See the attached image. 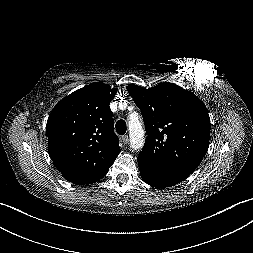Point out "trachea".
I'll return each instance as SVG.
<instances>
[{"instance_id": "trachea-1", "label": "trachea", "mask_w": 253, "mask_h": 253, "mask_svg": "<svg viewBox=\"0 0 253 253\" xmlns=\"http://www.w3.org/2000/svg\"><path fill=\"white\" fill-rule=\"evenodd\" d=\"M116 132L119 134V135H124L126 133V130H127V126H126V122L122 119L118 120L116 122Z\"/></svg>"}]
</instances>
